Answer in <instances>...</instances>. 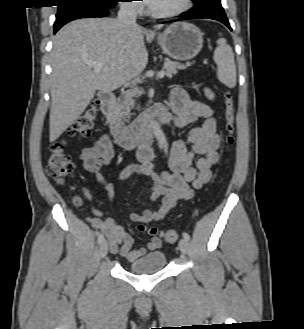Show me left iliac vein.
Segmentation results:
<instances>
[{
    "label": "left iliac vein",
    "mask_w": 304,
    "mask_h": 329,
    "mask_svg": "<svg viewBox=\"0 0 304 329\" xmlns=\"http://www.w3.org/2000/svg\"><path fill=\"white\" fill-rule=\"evenodd\" d=\"M179 249L184 254L187 252V250H188V241L186 239L183 238L179 241Z\"/></svg>",
    "instance_id": "left-iliac-vein-1"
}]
</instances>
